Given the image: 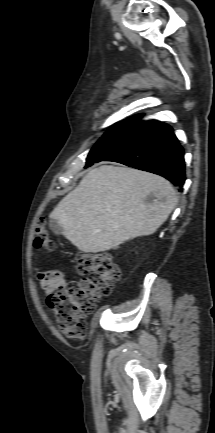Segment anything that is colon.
<instances>
[{
  "label": "colon",
  "instance_id": "obj_1",
  "mask_svg": "<svg viewBox=\"0 0 215 433\" xmlns=\"http://www.w3.org/2000/svg\"><path fill=\"white\" fill-rule=\"evenodd\" d=\"M34 246L51 250L46 222L40 219L34 231ZM76 271L84 276L50 294L48 306L53 311L60 330L68 337L83 338L87 332V318L93 313L101 296L107 295L120 277V270L109 252L83 253L77 257Z\"/></svg>",
  "mask_w": 215,
  "mask_h": 433
}]
</instances>
